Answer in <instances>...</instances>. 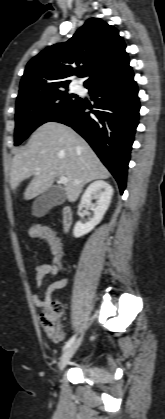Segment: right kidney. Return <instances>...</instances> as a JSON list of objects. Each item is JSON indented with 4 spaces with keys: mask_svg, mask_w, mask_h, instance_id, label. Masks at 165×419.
Returning <instances> with one entry per match:
<instances>
[{
    "mask_svg": "<svg viewBox=\"0 0 165 419\" xmlns=\"http://www.w3.org/2000/svg\"><path fill=\"white\" fill-rule=\"evenodd\" d=\"M113 193L112 186L103 180H97L87 187L82 195L79 210H82L83 207H89L93 211L94 216L86 224H82L80 221L76 222L73 229L74 237L79 238L89 233L101 222L109 208ZM93 199L96 200V204H92Z\"/></svg>",
    "mask_w": 165,
    "mask_h": 419,
    "instance_id": "1",
    "label": "right kidney"
}]
</instances>
